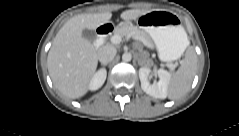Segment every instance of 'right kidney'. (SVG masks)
<instances>
[{
  "mask_svg": "<svg viewBox=\"0 0 239 136\" xmlns=\"http://www.w3.org/2000/svg\"><path fill=\"white\" fill-rule=\"evenodd\" d=\"M107 72L105 69L97 71L90 80L89 89L94 91L99 89L105 82Z\"/></svg>",
  "mask_w": 239,
  "mask_h": 136,
  "instance_id": "right-kidney-1",
  "label": "right kidney"
}]
</instances>
